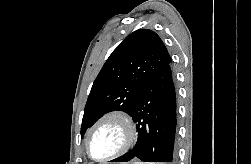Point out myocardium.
Here are the masks:
<instances>
[{
    "mask_svg": "<svg viewBox=\"0 0 251 164\" xmlns=\"http://www.w3.org/2000/svg\"><path fill=\"white\" fill-rule=\"evenodd\" d=\"M107 121H115L121 125L124 131V140L121 147L116 152L103 158H95L91 155L90 152V139L94 131ZM136 139L137 129L132 117L123 110H112L98 118L95 123L89 128L85 139L86 153L88 157L95 162H107L126 154L134 146Z\"/></svg>",
    "mask_w": 251,
    "mask_h": 164,
    "instance_id": "myocardium-1",
    "label": "myocardium"
}]
</instances>
